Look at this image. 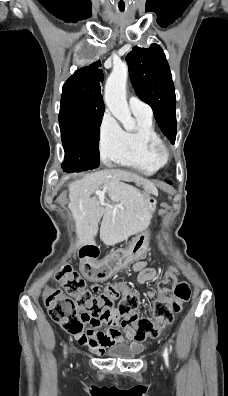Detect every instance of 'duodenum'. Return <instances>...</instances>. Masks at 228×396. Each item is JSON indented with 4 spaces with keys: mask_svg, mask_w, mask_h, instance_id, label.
Segmentation results:
<instances>
[{
    "mask_svg": "<svg viewBox=\"0 0 228 396\" xmlns=\"http://www.w3.org/2000/svg\"><path fill=\"white\" fill-rule=\"evenodd\" d=\"M84 252H86L87 254L92 253L93 251H97V247L94 244H86L84 247Z\"/></svg>",
    "mask_w": 228,
    "mask_h": 396,
    "instance_id": "1",
    "label": "duodenum"
}]
</instances>
